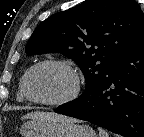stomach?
<instances>
[{
  "label": "stomach",
  "instance_id": "stomach-1",
  "mask_svg": "<svg viewBox=\"0 0 144 137\" xmlns=\"http://www.w3.org/2000/svg\"><path fill=\"white\" fill-rule=\"evenodd\" d=\"M22 137H96L88 125L73 121H29L20 128Z\"/></svg>",
  "mask_w": 144,
  "mask_h": 137
}]
</instances>
